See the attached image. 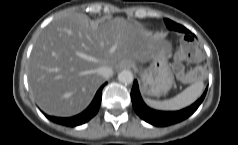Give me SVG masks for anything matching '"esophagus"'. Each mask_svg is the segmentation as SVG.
<instances>
[{
    "instance_id": "34e87169",
    "label": "esophagus",
    "mask_w": 238,
    "mask_h": 145,
    "mask_svg": "<svg viewBox=\"0 0 238 145\" xmlns=\"http://www.w3.org/2000/svg\"><path fill=\"white\" fill-rule=\"evenodd\" d=\"M132 67V63L130 61H123L120 64V68H125V69H129Z\"/></svg>"
}]
</instances>
